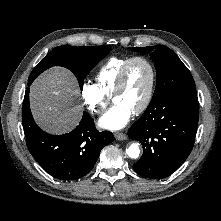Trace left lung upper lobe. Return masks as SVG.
Listing matches in <instances>:
<instances>
[{"label":"left lung upper lobe","instance_id":"obj_1","mask_svg":"<svg viewBox=\"0 0 221 221\" xmlns=\"http://www.w3.org/2000/svg\"><path fill=\"white\" fill-rule=\"evenodd\" d=\"M153 46L132 48L133 51L150 52ZM155 62L157 83L150 104L164 100L173 94L196 89L190 71L178 56L166 46H157L151 53Z\"/></svg>","mask_w":221,"mask_h":221}]
</instances>
